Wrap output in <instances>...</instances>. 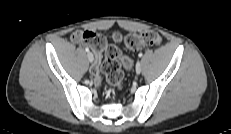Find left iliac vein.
<instances>
[{"instance_id":"left-iliac-vein-1","label":"left iliac vein","mask_w":231,"mask_h":134,"mask_svg":"<svg viewBox=\"0 0 231 134\" xmlns=\"http://www.w3.org/2000/svg\"><path fill=\"white\" fill-rule=\"evenodd\" d=\"M141 70H142V69H141V65H140V63L138 62L137 65H136V73H137V74H140V73H141Z\"/></svg>"}]
</instances>
